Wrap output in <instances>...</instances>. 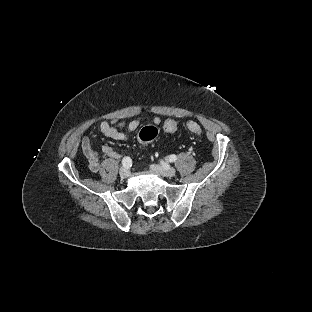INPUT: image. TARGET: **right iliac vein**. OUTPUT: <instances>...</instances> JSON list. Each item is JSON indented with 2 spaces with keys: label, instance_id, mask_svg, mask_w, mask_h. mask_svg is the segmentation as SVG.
<instances>
[{
  "label": "right iliac vein",
  "instance_id": "right-iliac-vein-1",
  "mask_svg": "<svg viewBox=\"0 0 312 312\" xmlns=\"http://www.w3.org/2000/svg\"><path fill=\"white\" fill-rule=\"evenodd\" d=\"M119 174L121 178L126 179L129 176V169L123 166L121 167Z\"/></svg>",
  "mask_w": 312,
  "mask_h": 312
}]
</instances>
